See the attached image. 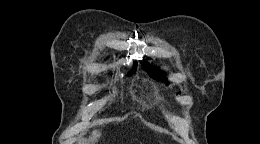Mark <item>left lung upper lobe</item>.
<instances>
[{"instance_id":"left-lung-upper-lobe-1","label":"left lung upper lobe","mask_w":260,"mask_h":144,"mask_svg":"<svg viewBox=\"0 0 260 144\" xmlns=\"http://www.w3.org/2000/svg\"><path fill=\"white\" fill-rule=\"evenodd\" d=\"M144 68L146 69V71L148 72V74L153 77V78H157L160 79L162 81H167V79L165 78V76L161 73V71L159 70H154L153 67L151 65H149L148 63H143Z\"/></svg>"}]
</instances>
